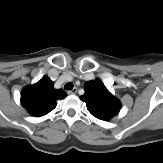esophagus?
Here are the masks:
<instances>
[{
    "instance_id": "esophagus-1",
    "label": "esophagus",
    "mask_w": 163,
    "mask_h": 163,
    "mask_svg": "<svg viewBox=\"0 0 163 163\" xmlns=\"http://www.w3.org/2000/svg\"><path fill=\"white\" fill-rule=\"evenodd\" d=\"M77 92V88H73L72 90L67 91L69 95H74Z\"/></svg>"
}]
</instances>
